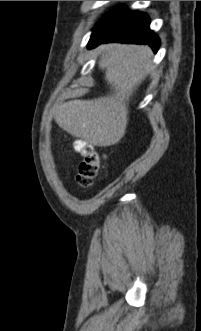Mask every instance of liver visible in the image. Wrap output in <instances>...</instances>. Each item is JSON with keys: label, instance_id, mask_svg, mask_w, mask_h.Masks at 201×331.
<instances>
[{"label": "liver", "instance_id": "1", "mask_svg": "<svg viewBox=\"0 0 201 331\" xmlns=\"http://www.w3.org/2000/svg\"><path fill=\"white\" fill-rule=\"evenodd\" d=\"M99 68L105 71L110 94L92 100L56 104L53 116L64 131L99 147L118 143L128 125L130 97L149 72L148 46L110 43L99 46Z\"/></svg>", "mask_w": 201, "mask_h": 331}]
</instances>
